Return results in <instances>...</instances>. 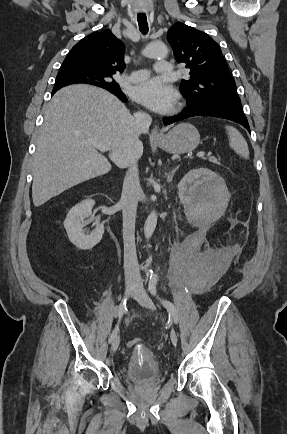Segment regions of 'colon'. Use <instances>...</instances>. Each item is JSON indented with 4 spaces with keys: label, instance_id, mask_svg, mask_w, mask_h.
I'll return each instance as SVG.
<instances>
[{
    "label": "colon",
    "instance_id": "colon-1",
    "mask_svg": "<svg viewBox=\"0 0 287 434\" xmlns=\"http://www.w3.org/2000/svg\"><path fill=\"white\" fill-rule=\"evenodd\" d=\"M141 344H142V341L138 338H135V339L130 340L127 345L130 348H135V347L141 346Z\"/></svg>",
    "mask_w": 287,
    "mask_h": 434
}]
</instances>
